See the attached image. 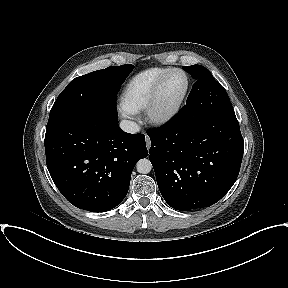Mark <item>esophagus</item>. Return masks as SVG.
I'll use <instances>...</instances> for the list:
<instances>
[{
  "instance_id": "esophagus-1",
  "label": "esophagus",
  "mask_w": 288,
  "mask_h": 288,
  "mask_svg": "<svg viewBox=\"0 0 288 288\" xmlns=\"http://www.w3.org/2000/svg\"><path fill=\"white\" fill-rule=\"evenodd\" d=\"M146 146H147V149H150L151 141H150V138L147 135H146Z\"/></svg>"
}]
</instances>
